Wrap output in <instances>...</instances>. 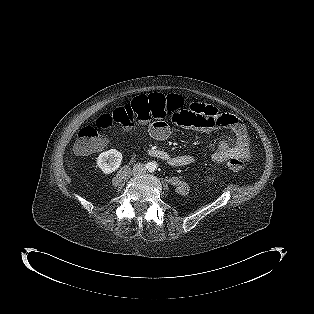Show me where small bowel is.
Returning a JSON list of instances; mask_svg holds the SVG:
<instances>
[{"instance_id": "obj_1", "label": "small bowel", "mask_w": 314, "mask_h": 314, "mask_svg": "<svg viewBox=\"0 0 314 314\" xmlns=\"http://www.w3.org/2000/svg\"><path fill=\"white\" fill-rule=\"evenodd\" d=\"M171 121L176 128H189L198 132L229 130L230 134L221 139L217 149L210 155L211 161L215 163H223L232 158L247 160L250 157L251 141L243 123L236 116L222 112L215 106L193 103L189 108L176 109L172 113ZM148 133L156 140H164L169 136L170 128L165 121H156L148 128ZM194 161V156L182 154L174 156L170 163L180 167Z\"/></svg>"}]
</instances>
